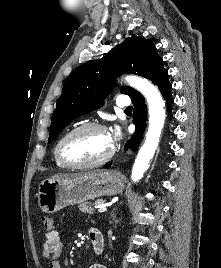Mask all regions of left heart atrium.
<instances>
[{"label":"left heart atrium","mask_w":221,"mask_h":268,"mask_svg":"<svg viewBox=\"0 0 221 268\" xmlns=\"http://www.w3.org/2000/svg\"><path fill=\"white\" fill-rule=\"evenodd\" d=\"M108 134H109V139H110L112 146H114L121 138V132H120V129L118 127H115Z\"/></svg>","instance_id":"1"}]
</instances>
